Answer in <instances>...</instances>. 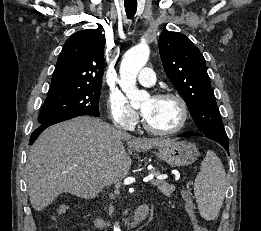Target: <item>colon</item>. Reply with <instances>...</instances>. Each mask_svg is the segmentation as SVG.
I'll return each mask as SVG.
<instances>
[{"instance_id":"colon-1","label":"colon","mask_w":261,"mask_h":231,"mask_svg":"<svg viewBox=\"0 0 261 231\" xmlns=\"http://www.w3.org/2000/svg\"><path fill=\"white\" fill-rule=\"evenodd\" d=\"M187 207L189 209H192V207H193L192 201L190 199L187 201ZM59 213L61 214L62 211H59ZM195 231H207V230L202 224L196 223Z\"/></svg>"}]
</instances>
